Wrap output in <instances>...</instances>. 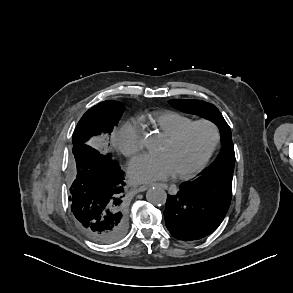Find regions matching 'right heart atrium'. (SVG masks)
I'll list each match as a JSON object with an SVG mask.
<instances>
[{
    "mask_svg": "<svg viewBox=\"0 0 293 293\" xmlns=\"http://www.w3.org/2000/svg\"><path fill=\"white\" fill-rule=\"evenodd\" d=\"M115 146L126 157H133L142 149L141 127L135 121L124 123L116 132Z\"/></svg>",
    "mask_w": 293,
    "mask_h": 293,
    "instance_id": "obj_1",
    "label": "right heart atrium"
}]
</instances>
